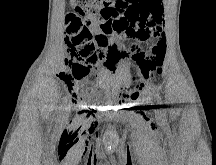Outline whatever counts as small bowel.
<instances>
[{
  "label": "small bowel",
  "mask_w": 216,
  "mask_h": 165,
  "mask_svg": "<svg viewBox=\"0 0 216 165\" xmlns=\"http://www.w3.org/2000/svg\"><path fill=\"white\" fill-rule=\"evenodd\" d=\"M100 12L98 27L110 41L107 63L113 67L123 57L119 43L125 40L143 41L141 34L145 29L152 25L161 26L163 7L162 0H136L131 2V5H117L115 10L101 8ZM67 65L70 67V74L63 75L62 79L69 90L77 95L79 91L77 82L84 79L89 70L79 63L67 62ZM145 78L142 74L134 77V87L127 93L128 98L138 97ZM86 93L93 96L95 88L89 87Z\"/></svg>",
  "instance_id": "c3829d8e"
}]
</instances>
